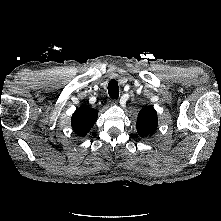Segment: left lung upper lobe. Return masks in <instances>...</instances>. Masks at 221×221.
I'll return each mask as SVG.
<instances>
[{
  "instance_id": "5c2ea615",
  "label": "left lung upper lobe",
  "mask_w": 221,
  "mask_h": 221,
  "mask_svg": "<svg viewBox=\"0 0 221 221\" xmlns=\"http://www.w3.org/2000/svg\"><path fill=\"white\" fill-rule=\"evenodd\" d=\"M158 126V117L155 109L151 107H145L140 110L136 129L138 134H140L143 138L149 137L154 134Z\"/></svg>"
}]
</instances>
